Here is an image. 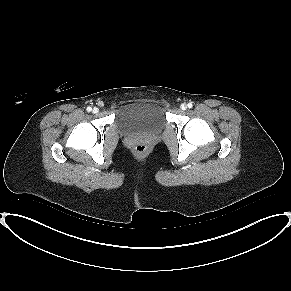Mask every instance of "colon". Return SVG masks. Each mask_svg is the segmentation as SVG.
<instances>
[{"mask_svg":"<svg viewBox=\"0 0 291 291\" xmlns=\"http://www.w3.org/2000/svg\"><path fill=\"white\" fill-rule=\"evenodd\" d=\"M133 153L137 157H145L148 153V147L144 143H138L133 147Z\"/></svg>","mask_w":291,"mask_h":291,"instance_id":"5ec220e1","label":"colon"}]
</instances>
